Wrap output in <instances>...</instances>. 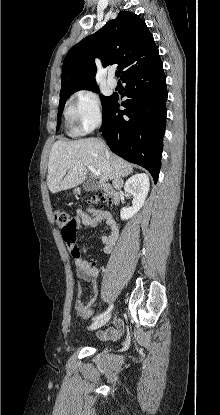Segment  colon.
Returning <instances> with one entry per match:
<instances>
[{"mask_svg":"<svg viewBox=\"0 0 220 415\" xmlns=\"http://www.w3.org/2000/svg\"><path fill=\"white\" fill-rule=\"evenodd\" d=\"M111 200L110 196L100 193L99 195L94 196L91 201L108 205ZM54 217L55 222L61 227L62 232L67 234L69 238H73L75 232L74 217H72L68 211L62 209L55 211Z\"/></svg>","mask_w":220,"mask_h":415,"instance_id":"colon-1","label":"colon"}]
</instances>
